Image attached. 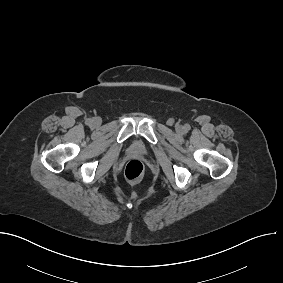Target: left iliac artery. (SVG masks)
Segmentation results:
<instances>
[{
  "label": "left iliac artery",
  "instance_id": "44dca946",
  "mask_svg": "<svg viewBox=\"0 0 283 283\" xmlns=\"http://www.w3.org/2000/svg\"><path fill=\"white\" fill-rule=\"evenodd\" d=\"M190 128L189 125H185V129L188 130Z\"/></svg>",
  "mask_w": 283,
  "mask_h": 283
}]
</instances>
